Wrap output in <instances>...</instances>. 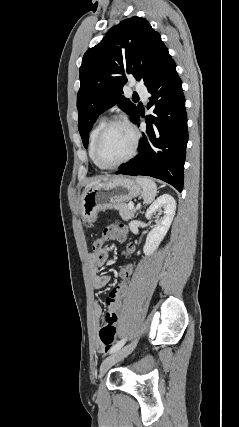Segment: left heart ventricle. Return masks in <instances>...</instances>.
Returning a JSON list of instances; mask_svg holds the SVG:
<instances>
[{
  "label": "left heart ventricle",
  "mask_w": 239,
  "mask_h": 427,
  "mask_svg": "<svg viewBox=\"0 0 239 427\" xmlns=\"http://www.w3.org/2000/svg\"><path fill=\"white\" fill-rule=\"evenodd\" d=\"M133 145V135L124 126L112 127L102 139L99 158L106 164H114L125 158Z\"/></svg>",
  "instance_id": "1"
}]
</instances>
